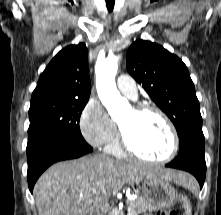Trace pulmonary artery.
<instances>
[{"label": "pulmonary artery", "mask_w": 221, "mask_h": 215, "mask_svg": "<svg viewBox=\"0 0 221 215\" xmlns=\"http://www.w3.org/2000/svg\"><path fill=\"white\" fill-rule=\"evenodd\" d=\"M118 90L126 97L136 100L138 98V90L133 79L128 75H120L117 79Z\"/></svg>", "instance_id": "e3ab8cb5"}]
</instances>
